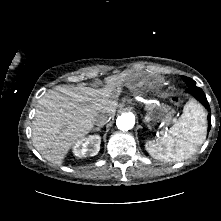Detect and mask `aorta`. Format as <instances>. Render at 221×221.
<instances>
[{
  "label": "aorta",
  "mask_w": 221,
  "mask_h": 221,
  "mask_svg": "<svg viewBox=\"0 0 221 221\" xmlns=\"http://www.w3.org/2000/svg\"><path fill=\"white\" fill-rule=\"evenodd\" d=\"M135 120L134 116L129 113H122L120 116H118L116 120V125L118 129L122 131H128L134 127Z\"/></svg>",
  "instance_id": "1"
}]
</instances>
